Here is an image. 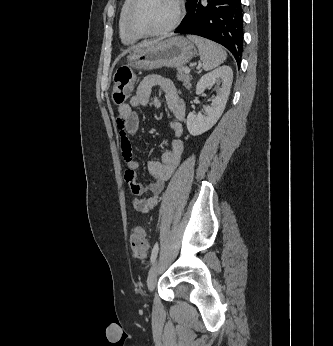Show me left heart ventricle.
Segmentation results:
<instances>
[{"label": "left heart ventricle", "instance_id": "left-heart-ventricle-1", "mask_svg": "<svg viewBox=\"0 0 333 346\" xmlns=\"http://www.w3.org/2000/svg\"><path fill=\"white\" fill-rule=\"evenodd\" d=\"M174 0H142L135 16V25L145 31L161 30L173 21L175 16Z\"/></svg>", "mask_w": 333, "mask_h": 346}]
</instances>
